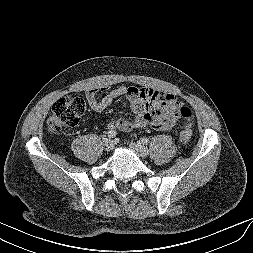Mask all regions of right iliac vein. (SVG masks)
Returning a JSON list of instances; mask_svg holds the SVG:
<instances>
[{"instance_id": "63e3f726", "label": "right iliac vein", "mask_w": 253, "mask_h": 253, "mask_svg": "<svg viewBox=\"0 0 253 253\" xmlns=\"http://www.w3.org/2000/svg\"><path fill=\"white\" fill-rule=\"evenodd\" d=\"M103 145L106 151H111L114 148V142L111 139H106Z\"/></svg>"}]
</instances>
